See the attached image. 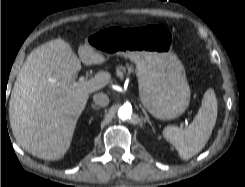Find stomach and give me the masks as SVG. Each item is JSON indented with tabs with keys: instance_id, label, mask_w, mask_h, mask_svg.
<instances>
[{
	"instance_id": "1",
	"label": "stomach",
	"mask_w": 245,
	"mask_h": 187,
	"mask_svg": "<svg viewBox=\"0 0 245 187\" xmlns=\"http://www.w3.org/2000/svg\"><path fill=\"white\" fill-rule=\"evenodd\" d=\"M173 35L160 25L112 26L86 38V43L106 55H120L136 64L140 99L160 120L174 119L185 112L190 88L184 66L172 51Z\"/></svg>"
}]
</instances>
